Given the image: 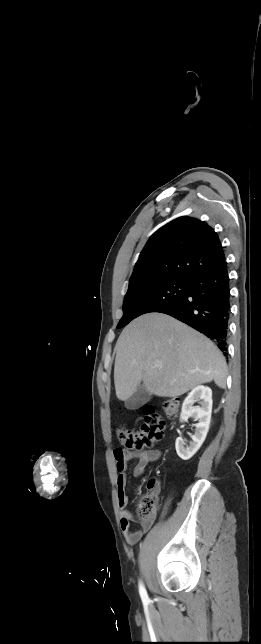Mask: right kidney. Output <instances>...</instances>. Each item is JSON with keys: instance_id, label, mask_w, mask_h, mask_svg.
Segmentation results:
<instances>
[{"instance_id": "ca27d5eb", "label": "right kidney", "mask_w": 261, "mask_h": 644, "mask_svg": "<svg viewBox=\"0 0 261 644\" xmlns=\"http://www.w3.org/2000/svg\"><path fill=\"white\" fill-rule=\"evenodd\" d=\"M197 401H200V406L194 407L193 404ZM212 403V390L205 386L195 387L184 400L180 421L185 422L191 417L198 423L195 424V432L189 445H186L182 437L176 439L175 448L181 459H190L203 444L209 430Z\"/></svg>"}]
</instances>
